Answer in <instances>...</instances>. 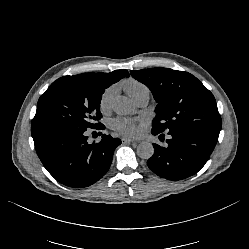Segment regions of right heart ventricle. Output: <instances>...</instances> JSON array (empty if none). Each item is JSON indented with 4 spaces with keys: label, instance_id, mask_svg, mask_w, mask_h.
<instances>
[{
    "label": "right heart ventricle",
    "instance_id": "1",
    "mask_svg": "<svg viewBox=\"0 0 249 249\" xmlns=\"http://www.w3.org/2000/svg\"><path fill=\"white\" fill-rule=\"evenodd\" d=\"M126 92L136 101L138 98L148 95L150 97L151 91L149 87L135 78H128L122 83Z\"/></svg>",
    "mask_w": 249,
    "mask_h": 249
}]
</instances>
